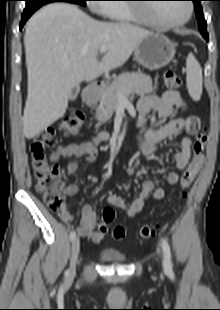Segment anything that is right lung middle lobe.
Instances as JSON below:
<instances>
[{"mask_svg":"<svg viewBox=\"0 0 220 310\" xmlns=\"http://www.w3.org/2000/svg\"><path fill=\"white\" fill-rule=\"evenodd\" d=\"M26 8H34V7H39L42 6L44 4L50 3V2H54V1H59V0H26ZM64 1H68L70 3H76V4H80L85 6L86 0H64Z\"/></svg>","mask_w":220,"mask_h":310,"instance_id":"obj_1","label":"right lung middle lobe"}]
</instances>
